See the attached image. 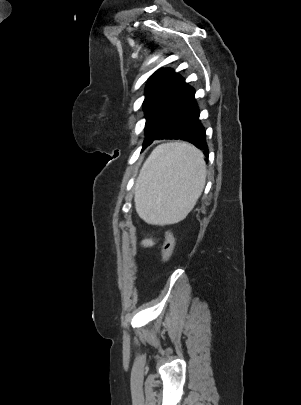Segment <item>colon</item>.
<instances>
[{"label": "colon", "instance_id": "colon-1", "mask_svg": "<svg viewBox=\"0 0 301 405\" xmlns=\"http://www.w3.org/2000/svg\"><path fill=\"white\" fill-rule=\"evenodd\" d=\"M174 246H175L174 236L171 232L167 231L165 233V242L162 250V260L164 263H167L170 260L173 254Z\"/></svg>", "mask_w": 301, "mask_h": 405}]
</instances>
